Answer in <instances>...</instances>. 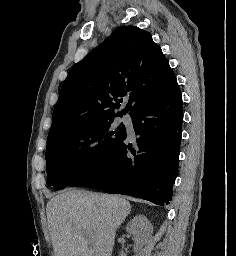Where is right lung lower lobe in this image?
<instances>
[{
	"label": "right lung lower lobe",
	"instance_id": "right-lung-lower-lobe-1",
	"mask_svg": "<svg viewBox=\"0 0 236 256\" xmlns=\"http://www.w3.org/2000/svg\"><path fill=\"white\" fill-rule=\"evenodd\" d=\"M134 144L122 143L69 186L102 189L169 204L182 137V97L177 82L150 98L131 116Z\"/></svg>",
	"mask_w": 236,
	"mask_h": 256
}]
</instances>
